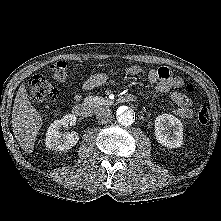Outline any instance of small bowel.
Wrapping results in <instances>:
<instances>
[{"label": "small bowel", "instance_id": "small-bowel-1", "mask_svg": "<svg viewBox=\"0 0 221 221\" xmlns=\"http://www.w3.org/2000/svg\"><path fill=\"white\" fill-rule=\"evenodd\" d=\"M129 75H141L142 70L137 66L129 67L126 70ZM109 79V75L105 72H98L91 75L84 83L85 90H93L104 85ZM147 79L150 83L155 84L154 93L164 94L171 92L170 98L175 103L173 113L181 118L189 119L193 116L191 108V100L178 89L184 86V80L175 76L166 67L159 69H151L147 73ZM76 100H80V95H76Z\"/></svg>", "mask_w": 221, "mask_h": 221}]
</instances>
